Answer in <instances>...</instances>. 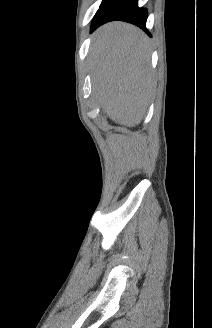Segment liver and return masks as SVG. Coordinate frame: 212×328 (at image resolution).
I'll return each mask as SVG.
<instances>
[{
  "label": "liver",
  "instance_id": "1",
  "mask_svg": "<svg viewBox=\"0 0 212 328\" xmlns=\"http://www.w3.org/2000/svg\"><path fill=\"white\" fill-rule=\"evenodd\" d=\"M91 52L93 83L103 111L120 125H138L153 88L147 36L133 25L111 22L96 31Z\"/></svg>",
  "mask_w": 212,
  "mask_h": 328
}]
</instances>
